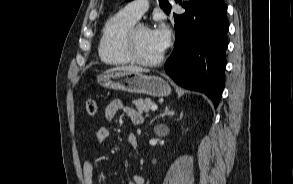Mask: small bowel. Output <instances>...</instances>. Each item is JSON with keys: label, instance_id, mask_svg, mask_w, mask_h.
Returning <instances> with one entry per match:
<instances>
[{"label": "small bowel", "instance_id": "small-bowel-1", "mask_svg": "<svg viewBox=\"0 0 293 184\" xmlns=\"http://www.w3.org/2000/svg\"><path fill=\"white\" fill-rule=\"evenodd\" d=\"M118 113L125 114L130 119V121L135 125H138L142 123L143 121L142 115L137 110L124 105L123 102L119 99H114L105 108V111H104L105 118L108 121H111L114 119V117ZM108 136H109V132L105 126H101L97 129L96 138L99 143L104 142L108 138ZM127 142L131 147L133 148L137 147V144H138L137 138L134 134H129L127 136ZM82 172H83L84 184H93L94 167L91 161L85 160L83 162ZM143 183H144L143 177L141 175H135L134 178L128 181L127 184H143Z\"/></svg>", "mask_w": 293, "mask_h": 184}]
</instances>
